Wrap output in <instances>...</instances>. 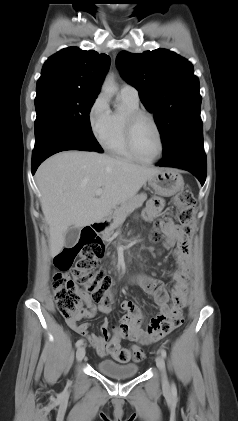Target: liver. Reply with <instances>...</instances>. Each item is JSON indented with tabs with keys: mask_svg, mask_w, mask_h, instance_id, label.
I'll return each instance as SVG.
<instances>
[{
	"mask_svg": "<svg viewBox=\"0 0 238 421\" xmlns=\"http://www.w3.org/2000/svg\"><path fill=\"white\" fill-rule=\"evenodd\" d=\"M160 170L88 151H65L43 162L36 183L49 225L51 256L62 250L68 228L103 220ZM98 189L103 190L99 198Z\"/></svg>",
	"mask_w": 238,
	"mask_h": 421,
	"instance_id": "obj_1",
	"label": "liver"
}]
</instances>
